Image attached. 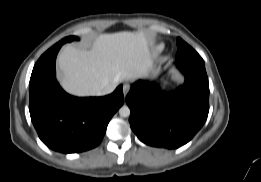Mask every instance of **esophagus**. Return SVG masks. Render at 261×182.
Segmentation results:
<instances>
[{
	"instance_id": "34e87169",
	"label": "esophagus",
	"mask_w": 261,
	"mask_h": 182,
	"mask_svg": "<svg viewBox=\"0 0 261 182\" xmlns=\"http://www.w3.org/2000/svg\"><path fill=\"white\" fill-rule=\"evenodd\" d=\"M129 90H130V85L124 84V85H123V93H124V96L127 95V93L129 92Z\"/></svg>"
}]
</instances>
